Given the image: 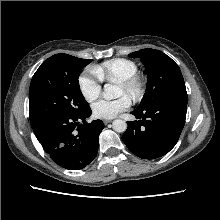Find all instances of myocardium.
<instances>
[{
	"instance_id": "1",
	"label": "myocardium",
	"mask_w": 220,
	"mask_h": 220,
	"mask_svg": "<svg viewBox=\"0 0 220 220\" xmlns=\"http://www.w3.org/2000/svg\"><path fill=\"white\" fill-rule=\"evenodd\" d=\"M125 94L133 101L141 99L145 92V82L138 74L118 82Z\"/></svg>"
}]
</instances>
